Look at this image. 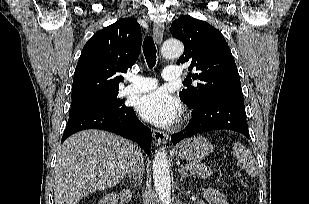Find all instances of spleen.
Returning a JSON list of instances; mask_svg holds the SVG:
<instances>
[{"instance_id": "1", "label": "spleen", "mask_w": 309, "mask_h": 204, "mask_svg": "<svg viewBox=\"0 0 309 204\" xmlns=\"http://www.w3.org/2000/svg\"><path fill=\"white\" fill-rule=\"evenodd\" d=\"M234 157L238 160L240 167L251 177L259 173L257 162L250 150H247L241 143H235L233 147Z\"/></svg>"}]
</instances>
